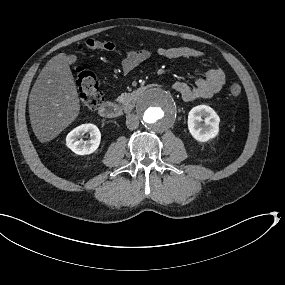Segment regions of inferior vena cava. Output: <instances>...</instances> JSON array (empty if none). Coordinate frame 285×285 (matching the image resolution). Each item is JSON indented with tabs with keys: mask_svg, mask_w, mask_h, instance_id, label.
Listing matches in <instances>:
<instances>
[{
	"mask_svg": "<svg viewBox=\"0 0 285 285\" xmlns=\"http://www.w3.org/2000/svg\"><path fill=\"white\" fill-rule=\"evenodd\" d=\"M139 117L136 114H128L126 118V126L128 129L134 130L139 126Z\"/></svg>",
	"mask_w": 285,
	"mask_h": 285,
	"instance_id": "obj_1",
	"label": "inferior vena cava"
}]
</instances>
